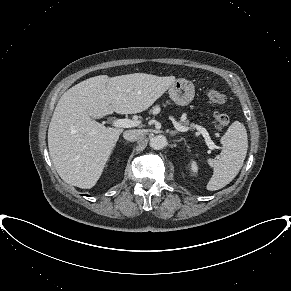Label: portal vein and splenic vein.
Returning <instances> with one entry per match:
<instances>
[{
    "instance_id": "1",
    "label": "portal vein and splenic vein",
    "mask_w": 291,
    "mask_h": 291,
    "mask_svg": "<svg viewBox=\"0 0 291 291\" xmlns=\"http://www.w3.org/2000/svg\"><path fill=\"white\" fill-rule=\"evenodd\" d=\"M174 124V127L180 131V132H187L191 129H196L205 139L206 141V144L207 146L210 148V149H215L216 148V145L213 143V141L210 139V136L207 132V130L205 128H203L202 126L200 125H192L191 127H186V126H183L181 124H179L178 122H176L174 120V118H170ZM139 121H134V120H130V119H115L112 123V125L114 127H117V128H130V127H135L137 125H139Z\"/></svg>"
}]
</instances>
